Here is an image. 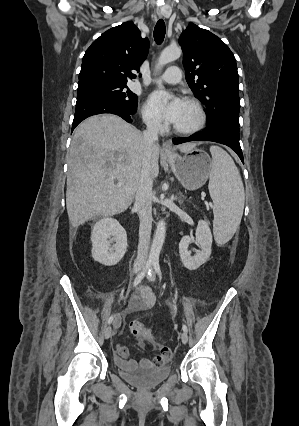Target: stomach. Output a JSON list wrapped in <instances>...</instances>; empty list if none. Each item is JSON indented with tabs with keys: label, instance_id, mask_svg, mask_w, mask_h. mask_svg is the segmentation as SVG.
Instances as JSON below:
<instances>
[{
	"label": "stomach",
	"instance_id": "obj_1",
	"mask_svg": "<svg viewBox=\"0 0 299 426\" xmlns=\"http://www.w3.org/2000/svg\"><path fill=\"white\" fill-rule=\"evenodd\" d=\"M165 158L175 177L188 190L199 189L210 177L212 160L202 150L194 148L183 156L173 153Z\"/></svg>",
	"mask_w": 299,
	"mask_h": 426
}]
</instances>
